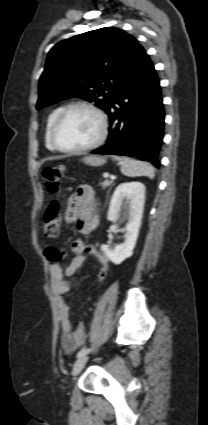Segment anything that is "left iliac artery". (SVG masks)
Returning <instances> with one entry per match:
<instances>
[{
	"instance_id": "left-iliac-artery-1",
	"label": "left iliac artery",
	"mask_w": 208,
	"mask_h": 425,
	"mask_svg": "<svg viewBox=\"0 0 208 425\" xmlns=\"http://www.w3.org/2000/svg\"><path fill=\"white\" fill-rule=\"evenodd\" d=\"M91 350H92V349H90V348L82 349V350H80V351L78 352L77 357H80V356L86 355V354H87V353H89Z\"/></svg>"
}]
</instances>
